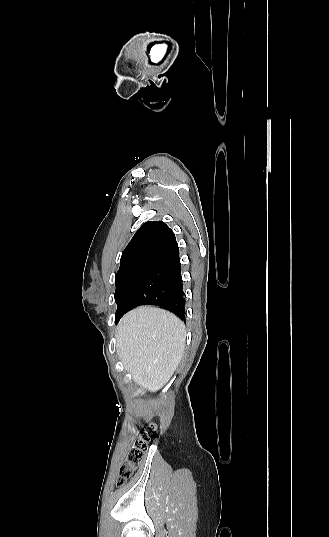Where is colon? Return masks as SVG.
<instances>
[{
  "label": "colon",
  "instance_id": "obj_1",
  "mask_svg": "<svg viewBox=\"0 0 329 537\" xmlns=\"http://www.w3.org/2000/svg\"><path fill=\"white\" fill-rule=\"evenodd\" d=\"M149 439L150 434L149 432L145 431L133 442L127 452L123 463L119 468L115 482L116 487L124 486L126 482L134 476L139 464L144 457Z\"/></svg>",
  "mask_w": 329,
  "mask_h": 537
}]
</instances>
